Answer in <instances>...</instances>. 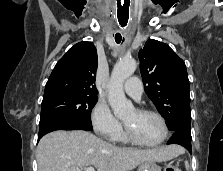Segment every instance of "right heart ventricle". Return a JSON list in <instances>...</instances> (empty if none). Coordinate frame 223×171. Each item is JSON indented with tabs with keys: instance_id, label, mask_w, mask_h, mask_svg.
I'll list each match as a JSON object with an SVG mask.
<instances>
[{
	"instance_id": "right-heart-ventricle-1",
	"label": "right heart ventricle",
	"mask_w": 223,
	"mask_h": 171,
	"mask_svg": "<svg viewBox=\"0 0 223 171\" xmlns=\"http://www.w3.org/2000/svg\"><path fill=\"white\" fill-rule=\"evenodd\" d=\"M116 140L119 141V142H122V143H127V142H128V140H127V138L125 137V135H124L123 132L120 133V135L117 137Z\"/></svg>"
}]
</instances>
